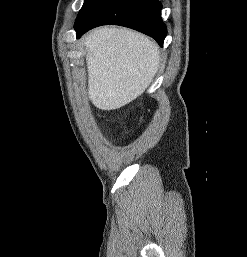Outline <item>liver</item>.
I'll return each mask as SVG.
<instances>
[{
	"mask_svg": "<svg viewBox=\"0 0 247 257\" xmlns=\"http://www.w3.org/2000/svg\"><path fill=\"white\" fill-rule=\"evenodd\" d=\"M88 96L101 110H115L139 97L153 81L160 57L149 37L122 27H100L84 37Z\"/></svg>",
	"mask_w": 247,
	"mask_h": 257,
	"instance_id": "liver-1",
	"label": "liver"
}]
</instances>
